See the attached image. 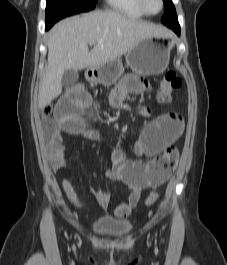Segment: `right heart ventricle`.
<instances>
[{
	"mask_svg": "<svg viewBox=\"0 0 227 265\" xmlns=\"http://www.w3.org/2000/svg\"><path fill=\"white\" fill-rule=\"evenodd\" d=\"M115 11L133 18L143 17L145 14L140 9L138 0H106Z\"/></svg>",
	"mask_w": 227,
	"mask_h": 265,
	"instance_id": "e07e8e85",
	"label": "right heart ventricle"
}]
</instances>
